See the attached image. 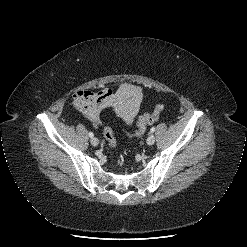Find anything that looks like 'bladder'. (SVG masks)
<instances>
[{
	"label": "bladder",
	"instance_id": "bladder-1",
	"mask_svg": "<svg viewBox=\"0 0 247 247\" xmlns=\"http://www.w3.org/2000/svg\"><path fill=\"white\" fill-rule=\"evenodd\" d=\"M126 89L127 90H130V91H134V92H138V90H137V88L135 87V86H132V85H128V86H126Z\"/></svg>",
	"mask_w": 247,
	"mask_h": 247
}]
</instances>
